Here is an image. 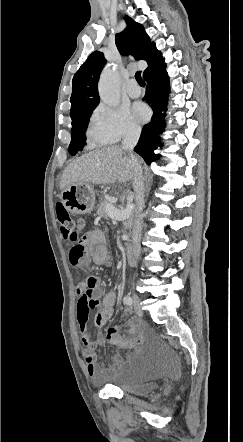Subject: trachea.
I'll return each mask as SVG.
<instances>
[{
  "mask_svg": "<svg viewBox=\"0 0 243 442\" xmlns=\"http://www.w3.org/2000/svg\"><path fill=\"white\" fill-rule=\"evenodd\" d=\"M135 79L137 80L139 85H145V82L142 79L141 71H137L135 74Z\"/></svg>",
  "mask_w": 243,
  "mask_h": 442,
  "instance_id": "3493384b",
  "label": "trachea"
}]
</instances>
